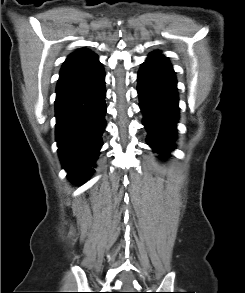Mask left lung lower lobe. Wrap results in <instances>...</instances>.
Wrapping results in <instances>:
<instances>
[{"instance_id":"obj_1","label":"left lung lower lobe","mask_w":245,"mask_h":293,"mask_svg":"<svg viewBox=\"0 0 245 293\" xmlns=\"http://www.w3.org/2000/svg\"><path fill=\"white\" fill-rule=\"evenodd\" d=\"M137 91L143 125L148 130L147 143L161 157H167L175 148L179 107L175 72L160 52H152L142 64Z\"/></svg>"}]
</instances>
